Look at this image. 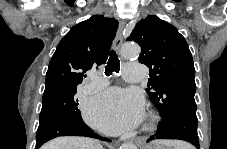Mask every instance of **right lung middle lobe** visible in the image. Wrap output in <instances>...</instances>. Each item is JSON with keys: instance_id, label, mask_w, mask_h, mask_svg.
<instances>
[{"instance_id": "obj_1", "label": "right lung middle lobe", "mask_w": 227, "mask_h": 149, "mask_svg": "<svg viewBox=\"0 0 227 149\" xmlns=\"http://www.w3.org/2000/svg\"><path fill=\"white\" fill-rule=\"evenodd\" d=\"M75 94L76 86H54L45 89L39 124L66 120L83 121Z\"/></svg>"}]
</instances>
